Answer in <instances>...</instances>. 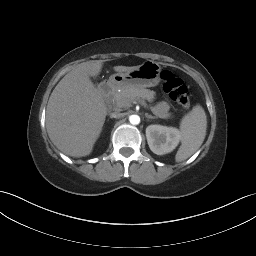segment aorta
Masks as SVG:
<instances>
[{
  "label": "aorta",
  "mask_w": 256,
  "mask_h": 256,
  "mask_svg": "<svg viewBox=\"0 0 256 256\" xmlns=\"http://www.w3.org/2000/svg\"><path fill=\"white\" fill-rule=\"evenodd\" d=\"M129 121L132 125H137L140 123V117L138 115H131Z\"/></svg>",
  "instance_id": "762f6f07"
}]
</instances>
